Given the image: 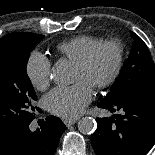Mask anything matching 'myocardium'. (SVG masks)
<instances>
[{"label": "myocardium", "mask_w": 155, "mask_h": 155, "mask_svg": "<svg viewBox=\"0 0 155 155\" xmlns=\"http://www.w3.org/2000/svg\"><path fill=\"white\" fill-rule=\"evenodd\" d=\"M104 47L114 48L116 51V61L111 74L106 79L93 84L95 89L107 88L114 84L119 78L124 63V50L122 44L117 40H103L93 46L82 59L75 63V65L80 69L85 70L89 68L97 53Z\"/></svg>", "instance_id": "obj_1"}]
</instances>
